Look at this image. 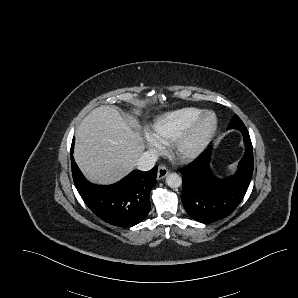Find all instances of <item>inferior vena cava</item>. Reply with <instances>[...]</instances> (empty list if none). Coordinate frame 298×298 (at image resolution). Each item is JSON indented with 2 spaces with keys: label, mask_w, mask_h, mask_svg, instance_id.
Wrapping results in <instances>:
<instances>
[{
  "label": "inferior vena cava",
  "mask_w": 298,
  "mask_h": 298,
  "mask_svg": "<svg viewBox=\"0 0 298 298\" xmlns=\"http://www.w3.org/2000/svg\"><path fill=\"white\" fill-rule=\"evenodd\" d=\"M157 162V155L153 151H145L137 160V167L141 171L151 170Z\"/></svg>",
  "instance_id": "1"
}]
</instances>
